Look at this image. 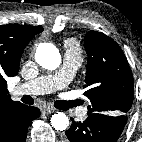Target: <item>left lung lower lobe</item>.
<instances>
[{"label": "left lung lower lobe", "mask_w": 142, "mask_h": 142, "mask_svg": "<svg viewBox=\"0 0 142 142\" xmlns=\"http://www.w3.org/2000/svg\"><path fill=\"white\" fill-rule=\"evenodd\" d=\"M71 120L65 142H116L125 127L127 115L92 113L84 122Z\"/></svg>", "instance_id": "0a47b994"}]
</instances>
